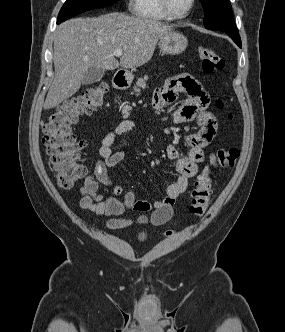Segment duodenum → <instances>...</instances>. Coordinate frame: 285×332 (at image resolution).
I'll use <instances>...</instances> for the list:
<instances>
[{"label":"duodenum","instance_id":"410a0bca","mask_svg":"<svg viewBox=\"0 0 285 332\" xmlns=\"http://www.w3.org/2000/svg\"><path fill=\"white\" fill-rule=\"evenodd\" d=\"M127 85L126 77L123 73H117L114 77V86L118 89H123Z\"/></svg>","mask_w":285,"mask_h":332}]
</instances>
